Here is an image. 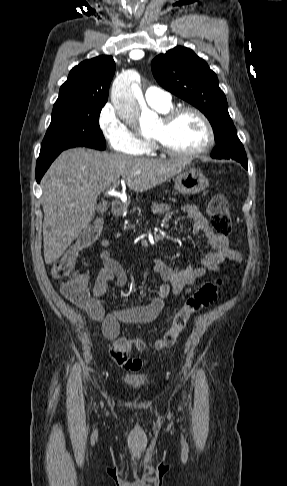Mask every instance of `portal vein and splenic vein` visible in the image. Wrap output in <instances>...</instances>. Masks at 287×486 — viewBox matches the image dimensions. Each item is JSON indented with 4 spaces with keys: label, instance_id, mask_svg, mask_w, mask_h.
Here are the masks:
<instances>
[{
    "label": "portal vein and splenic vein",
    "instance_id": "1",
    "mask_svg": "<svg viewBox=\"0 0 287 486\" xmlns=\"http://www.w3.org/2000/svg\"><path fill=\"white\" fill-rule=\"evenodd\" d=\"M118 185H119V181L113 183V187H116ZM113 192H114V190H109L107 193L112 194Z\"/></svg>",
    "mask_w": 287,
    "mask_h": 486
}]
</instances>
